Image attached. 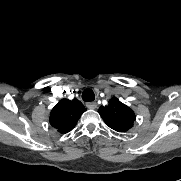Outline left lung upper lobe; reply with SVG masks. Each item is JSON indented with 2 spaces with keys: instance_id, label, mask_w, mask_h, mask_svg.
<instances>
[{
  "instance_id": "5c2ea615",
  "label": "left lung upper lobe",
  "mask_w": 181,
  "mask_h": 181,
  "mask_svg": "<svg viewBox=\"0 0 181 181\" xmlns=\"http://www.w3.org/2000/svg\"><path fill=\"white\" fill-rule=\"evenodd\" d=\"M98 112L106 125L118 132H127L136 119L133 110L116 97L110 99L107 106L99 107Z\"/></svg>"
}]
</instances>
